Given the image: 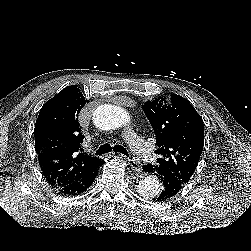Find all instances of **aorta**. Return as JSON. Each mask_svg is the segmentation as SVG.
Wrapping results in <instances>:
<instances>
[{"label": "aorta", "mask_w": 251, "mask_h": 251, "mask_svg": "<svg viewBox=\"0 0 251 251\" xmlns=\"http://www.w3.org/2000/svg\"><path fill=\"white\" fill-rule=\"evenodd\" d=\"M130 115L123 108L115 105H101L93 114L94 124L102 130L117 129L130 123ZM161 184L154 175L144 177L137 186L139 195L146 199L156 197L160 193Z\"/></svg>", "instance_id": "1"}]
</instances>
